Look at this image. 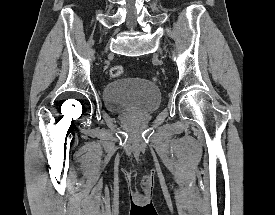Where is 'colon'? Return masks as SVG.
Listing matches in <instances>:
<instances>
[{
	"mask_svg": "<svg viewBox=\"0 0 275 215\" xmlns=\"http://www.w3.org/2000/svg\"><path fill=\"white\" fill-rule=\"evenodd\" d=\"M109 73L112 78H120L124 76L125 71L122 66L114 65L110 68Z\"/></svg>",
	"mask_w": 275,
	"mask_h": 215,
	"instance_id": "5ec220e1",
	"label": "colon"
}]
</instances>
